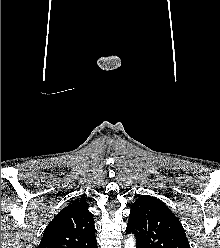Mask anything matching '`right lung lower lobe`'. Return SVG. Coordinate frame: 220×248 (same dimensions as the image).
Returning a JSON list of instances; mask_svg holds the SVG:
<instances>
[{
	"mask_svg": "<svg viewBox=\"0 0 220 248\" xmlns=\"http://www.w3.org/2000/svg\"><path fill=\"white\" fill-rule=\"evenodd\" d=\"M90 248H97V242L90 246Z\"/></svg>",
	"mask_w": 220,
	"mask_h": 248,
	"instance_id": "right-lung-lower-lobe-1",
	"label": "right lung lower lobe"
}]
</instances>
